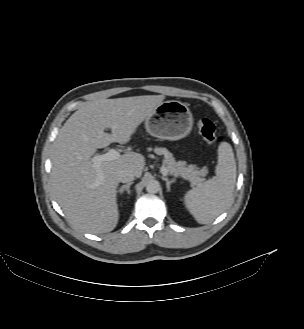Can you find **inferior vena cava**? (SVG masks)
<instances>
[{
	"label": "inferior vena cava",
	"instance_id": "602c4592",
	"mask_svg": "<svg viewBox=\"0 0 304 329\" xmlns=\"http://www.w3.org/2000/svg\"><path fill=\"white\" fill-rule=\"evenodd\" d=\"M135 178L134 173L131 170L123 169L118 172L117 179L122 183H129Z\"/></svg>",
	"mask_w": 304,
	"mask_h": 329
}]
</instances>
